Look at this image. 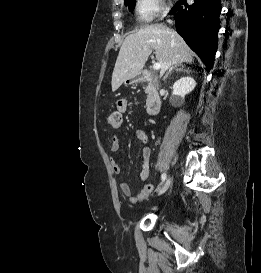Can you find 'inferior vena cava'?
I'll list each match as a JSON object with an SVG mask.
<instances>
[{
	"label": "inferior vena cava",
	"mask_w": 261,
	"mask_h": 273,
	"mask_svg": "<svg viewBox=\"0 0 261 273\" xmlns=\"http://www.w3.org/2000/svg\"><path fill=\"white\" fill-rule=\"evenodd\" d=\"M168 22H169V23H172V21H171V20H168Z\"/></svg>",
	"instance_id": "inferior-vena-cava-1"
}]
</instances>
